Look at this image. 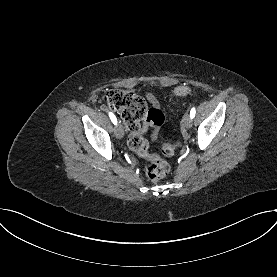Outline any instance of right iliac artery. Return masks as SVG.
<instances>
[{
  "mask_svg": "<svg viewBox=\"0 0 277 277\" xmlns=\"http://www.w3.org/2000/svg\"><path fill=\"white\" fill-rule=\"evenodd\" d=\"M109 117H110L111 121L116 125L117 124V119H116L115 115L110 112Z\"/></svg>",
  "mask_w": 277,
  "mask_h": 277,
  "instance_id": "right-iliac-artery-1",
  "label": "right iliac artery"
}]
</instances>
